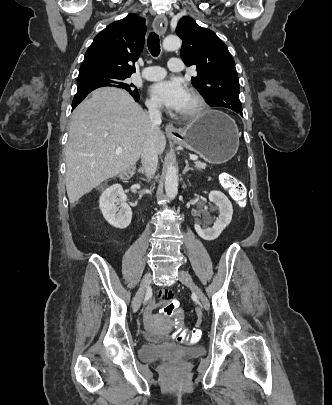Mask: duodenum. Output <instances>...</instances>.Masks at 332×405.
Instances as JSON below:
<instances>
[{"label":"duodenum","instance_id":"410a0bca","mask_svg":"<svg viewBox=\"0 0 332 405\" xmlns=\"http://www.w3.org/2000/svg\"><path fill=\"white\" fill-rule=\"evenodd\" d=\"M123 179L124 180L129 179V176H124Z\"/></svg>","mask_w":332,"mask_h":405}]
</instances>
